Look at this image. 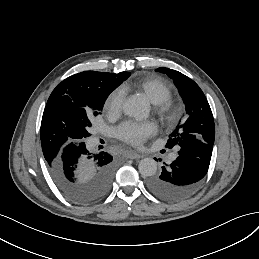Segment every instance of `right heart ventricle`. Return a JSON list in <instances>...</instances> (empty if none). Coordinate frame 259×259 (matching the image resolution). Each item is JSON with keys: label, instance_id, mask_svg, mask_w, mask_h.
I'll return each instance as SVG.
<instances>
[{"label": "right heart ventricle", "instance_id": "right-heart-ventricle-1", "mask_svg": "<svg viewBox=\"0 0 259 259\" xmlns=\"http://www.w3.org/2000/svg\"><path fill=\"white\" fill-rule=\"evenodd\" d=\"M121 94L130 92H140L147 96L152 104H159L169 100L172 96V89L163 81L155 79L153 81L146 80V77L132 78L118 87Z\"/></svg>", "mask_w": 259, "mask_h": 259}]
</instances>
